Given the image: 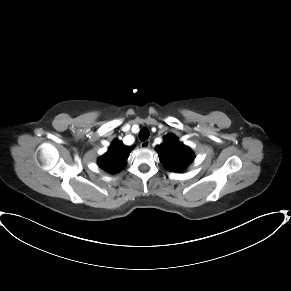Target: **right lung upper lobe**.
Here are the masks:
<instances>
[{
  "instance_id": "1",
  "label": "right lung upper lobe",
  "mask_w": 291,
  "mask_h": 291,
  "mask_svg": "<svg viewBox=\"0 0 291 291\" xmlns=\"http://www.w3.org/2000/svg\"><path fill=\"white\" fill-rule=\"evenodd\" d=\"M133 148L134 146H125L122 141L115 139L108 151L98 158V165L111 174L120 172Z\"/></svg>"
}]
</instances>
